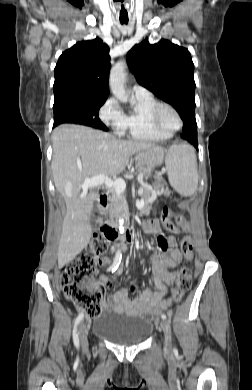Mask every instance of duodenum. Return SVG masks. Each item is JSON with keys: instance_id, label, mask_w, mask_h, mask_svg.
I'll return each instance as SVG.
<instances>
[{"instance_id": "410a0bca", "label": "duodenum", "mask_w": 252, "mask_h": 390, "mask_svg": "<svg viewBox=\"0 0 252 390\" xmlns=\"http://www.w3.org/2000/svg\"><path fill=\"white\" fill-rule=\"evenodd\" d=\"M99 203L103 209L109 208V197L107 194L102 193L99 196ZM102 231H108L109 233V240L111 242H131L134 240V234L130 230H125L123 233H119L112 222H107L101 227Z\"/></svg>"}]
</instances>
